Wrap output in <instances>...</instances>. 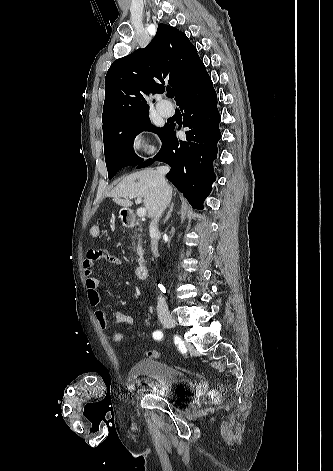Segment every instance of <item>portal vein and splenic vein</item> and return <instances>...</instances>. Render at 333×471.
Listing matches in <instances>:
<instances>
[{
  "label": "portal vein and splenic vein",
  "instance_id": "1",
  "mask_svg": "<svg viewBox=\"0 0 333 471\" xmlns=\"http://www.w3.org/2000/svg\"><path fill=\"white\" fill-rule=\"evenodd\" d=\"M141 202V197H137V203H140ZM137 215L139 217H144L146 215V208H138L137 210Z\"/></svg>",
  "mask_w": 333,
  "mask_h": 471
}]
</instances>
